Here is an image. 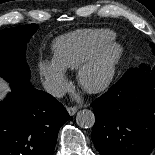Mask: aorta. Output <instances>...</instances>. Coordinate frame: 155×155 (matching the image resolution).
<instances>
[{"label":"aorta","mask_w":155,"mask_h":155,"mask_svg":"<svg viewBox=\"0 0 155 155\" xmlns=\"http://www.w3.org/2000/svg\"><path fill=\"white\" fill-rule=\"evenodd\" d=\"M76 123L81 128H92L95 124V115L88 109L80 110L76 115Z\"/></svg>","instance_id":"1"}]
</instances>
